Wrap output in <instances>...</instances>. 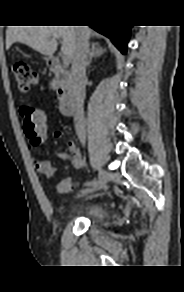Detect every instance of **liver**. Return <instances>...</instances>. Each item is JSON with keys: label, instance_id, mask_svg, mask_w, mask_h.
Here are the masks:
<instances>
[{"label": "liver", "instance_id": "liver-1", "mask_svg": "<svg viewBox=\"0 0 184 292\" xmlns=\"http://www.w3.org/2000/svg\"><path fill=\"white\" fill-rule=\"evenodd\" d=\"M87 39L92 30L86 26ZM79 31L77 26H10L6 31V47L15 42L24 43L46 56H52L57 49L58 38H62L61 52L72 61L76 50Z\"/></svg>", "mask_w": 184, "mask_h": 292}]
</instances>
